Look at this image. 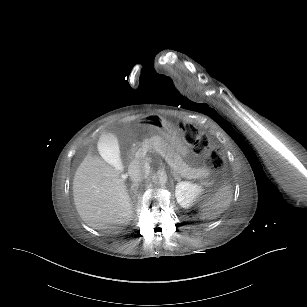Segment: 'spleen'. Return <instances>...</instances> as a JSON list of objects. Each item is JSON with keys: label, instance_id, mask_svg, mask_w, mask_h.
Wrapping results in <instances>:
<instances>
[{"label": "spleen", "instance_id": "obj_1", "mask_svg": "<svg viewBox=\"0 0 307 307\" xmlns=\"http://www.w3.org/2000/svg\"><path fill=\"white\" fill-rule=\"evenodd\" d=\"M233 197L232 187L229 184H222L219 187L218 195L202 205V212L199 214L201 220H213L218 214L229 208V202Z\"/></svg>", "mask_w": 307, "mask_h": 307}]
</instances>
